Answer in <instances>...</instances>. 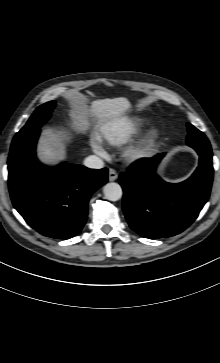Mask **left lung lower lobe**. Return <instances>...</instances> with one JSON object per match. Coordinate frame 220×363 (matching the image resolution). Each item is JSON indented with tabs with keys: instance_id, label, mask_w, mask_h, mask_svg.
Listing matches in <instances>:
<instances>
[{
	"instance_id": "left-lung-lower-lobe-1",
	"label": "left lung lower lobe",
	"mask_w": 220,
	"mask_h": 363,
	"mask_svg": "<svg viewBox=\"0 0 220 363\" xmlns=\"http://www.w3.org/2000/svg\"><path fill=\"white\" fill-rule=\"evenodd\" d=\"M200 156L193 175L177 184L162 181L155 173L164 153L143 158L120 174L123 210L129 226L145 238L179 234L197 218L207 202L213 179L210 143L187 142Z\"/></svg>"
}]
</instances>
